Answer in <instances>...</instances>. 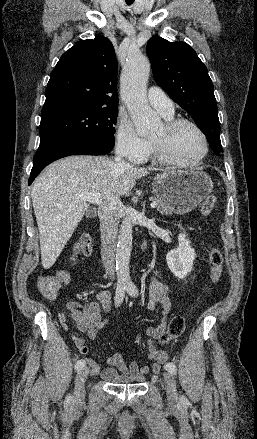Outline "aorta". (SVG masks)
Listing matches in <instances>:
<instances>
[{
  "instance_id": "1",
  "label": "aorta",
  "mask_w": 257,
  "mask_h": 439,
  "mask_svg": "<svg viewBox=\"0 0 257 439\" xmlns=\"http://www.w3.org/2000/svg\"><path fill=\"white\" fill-rule=\"evenodd\" d=\"M150 63L140 53H129L121 75V96L131 115L136 131L144 136L155 131L160 118L147 101L146 88ZM132 222L126 218L120 227L116 249V272L118 282L130 285L129 261L132 251Z\"/></svg>"
}]
</instances>
